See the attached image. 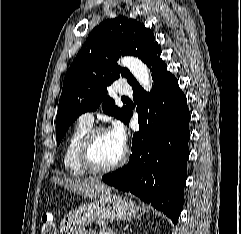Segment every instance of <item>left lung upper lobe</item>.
Returning a JSON list of instances; mask_svg holds the SVG:
<instances>
[{
    "label": "left lung upper lobe",
    "instance_id": "obj_1",
    "mask_svg": "<svg viewBox=\"0 0 241 234\" xmlns=\"http://www.w3.org/2000/svg\"><path fill=\"white\" fill-rule=\"evenodd\" d=\"M160 49L152 31L134 19L118 17L94 28L64 78L56 116L57 144L79 115L95 111L100 104L104 113L126 123L130 110L118 108L106 96L107 86L120 75L129 84L135 81L128 69L118 66L117 60L133 55L147 64Z\"/></svg>",
    "mask_w": 241,
    "mask_h": 234
}]
</instances>
